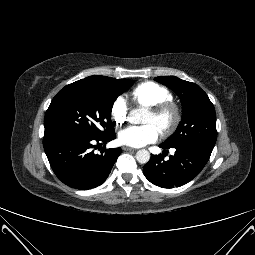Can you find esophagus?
<instances>
[{
  "instance_id": "1",
  "label": "esophagus",
  "mask_w": 255,
  "mask_h": 255,
  "mask_svg": "<svg viewBox=\"0 0 255 255\" xmlns=\"http://www.w3.org/2000/svg\"><path fill=\"white\" fill-rule=\"evenodd\" d=\"M122 149H123L124 151H135V150H136V149L131 148V147H128V146H123Z\"/></svg>"
}]
</instances>
